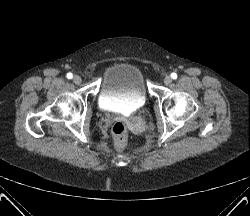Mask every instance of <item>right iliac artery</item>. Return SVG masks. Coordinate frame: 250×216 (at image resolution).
Listing matches in <instances>:
<instances>
[{
	"instance_id": "82829eb1",
	"label": "right iliac artery",
	"mask_w": 250,
	"mask_h": 216,
	"mask_svg": "<svg viewBox=\"0 0 250 216\" xmlns=\"http://www.w3.org/2000/svg\"><path fill=\"white\" fill-rule=\"evenodd\" d=\"M72 77H73V74H72V73H68V74H67V78H68V79H72Z\"/></svg>"
}]
</instances>
